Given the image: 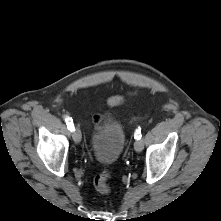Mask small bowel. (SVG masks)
<instances>
[{
  "label": "small bowel",
  "instance_id": "obj_1",
  "mask_svg": "<svg viewBox=\"0 0 221 221\" xmlns=\"http://www.w3.org/2000/svg\"><path fill=\"white\" fill-rule=\"evenodd\" d=\"M122 99L118 96H113L109 99V105L110 106H118L119 104H121Z\"/></svg>",
  "mask_w": 221,
  "mask_h": 221
}]
</instances>
